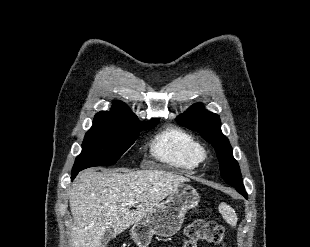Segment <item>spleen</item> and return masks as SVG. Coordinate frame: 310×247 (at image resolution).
<instances>
[{
    "instance_id": "spleen-1",
    "label": "spleen",
    "mask_w": 310,
    "mask_h": 247,
    "mask_svg": "<svg viewBox=\"0 0 310 247\" xmlns=\"http://www.w3.org/2000/svg\"><path fill=\"white\" fill-rule=\"evenodd\" d=\"M219 211L222 214L224 220L231 225L232 227H235L237 225V215L234 211V209H232L229 205H227L226 203H221L219 205Z\"/></svg>"
}]
</instances>
